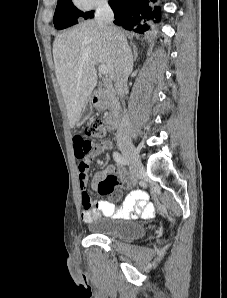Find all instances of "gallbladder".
<instances>
[{
  "label": "gallbladder",
  "mask_w": 227,
  "mask_h": 298,
  "mask_svg": "<svg viewBox=\"0 0 227 298\" xmlns=\"http://www.w3.org/2000/svg\"><path fill=\"white\" fill-rule=\"evenodd\" d=\"M92 113H93V106L91 104V101L88 100L84 105V108L81 112V116L77 122V125L80 126L83 123H85L87 119L92 115Z\"/></svg>",
  "instance_id": "gallbladder-1"
}]
</instances>
